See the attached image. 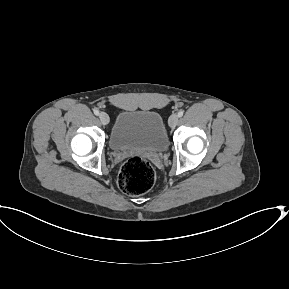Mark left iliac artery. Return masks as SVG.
<instances>
[{"instance_id":"left-iliac-artery-1","label":"left iliac artery","mask_w":289,"mask_h":289,"mask_svg":"<svg viewBox=\"0 0 289 289\" xmlns=\"http://www.w3.org/2000/svg\"><path fill=\"white\" fill-rule=\"evenodd\" d=\"M183 114H184V111H183V110H180V111L178 112V117H182Z\"/></svg>"}]
</instances>
